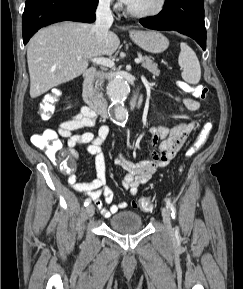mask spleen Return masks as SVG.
I'll list each match as a JSON object with an SVG mask.
<instances>
[{"instance_id": "obj_1", "label": "spleen", "mask_w": 243, "mask_h": 289, "mask_svg": "<svg viewBox=\"0 0 243 289\" xmlns=\"http://www.w3.org/2000/svg\"><path fill=\"white\" fill-rule=\"evenodd\" d=\"M181 52L178 63L183 68L182 78L190 84H197L201 78V67L196 53L184 42L180 44Z\"/></svg>"}]
</instances>
